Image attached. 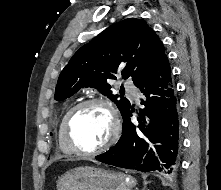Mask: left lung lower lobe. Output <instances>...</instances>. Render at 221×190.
<instances>
[{"mask_svg":"<svg viewBox=\"0 0 221 190\" xmlns=\"http://www.w3.org/2000/svg\"><path fill=\"white\" fill-rule=\"evenodd\" d=\"M141 90L139 125L130 121L131 106L122 115V135L117 144L96 156L100 162L142 172L174 174L179 168L181 138L177 98L167 56L135 85Z\"/></svg>","mask_w":221,"mask_h":190,"instance_id":"obj_1","label":"left lung lower lobe"}]
</instances>
